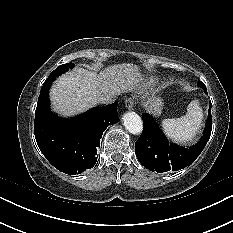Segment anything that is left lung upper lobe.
I'll return each instance as SVG.
<instances>
[{
    "mask_svg": "<svg viewBox=\"0 0 233 233\" xmlns=\"http://www.w3.org/2000/svg\"><path fill=\"white\" fill-rule=\"evenodd\" d=\"M197 85H198V87L206 88V86L200 80H198V84Z\"/></svg>",
    "mask_w": 233,
    "mask_h": 233,
    "instance_id": "1",
    "label": "left lung upper lobe"
}]
</instances>
